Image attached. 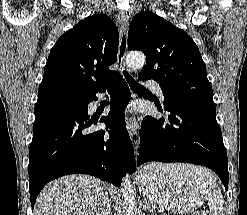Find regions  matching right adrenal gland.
Instances as JSON below:
<instances>
[{"instance_id": "obj_1", "label": "right adrenal gland", "mask_w": 247, "mask_h": 215, "mask_svg": "<svg viewBox=\"0 0 247 215\" xmlns=\"http://www.w3.org/2000/svg\"><path fill=\"white\" fill-rule=\"evenodd\" d=\"M110 214H111V200L108 199L107 206L103 215H110Z\"/></svg>"}]
</instances>
